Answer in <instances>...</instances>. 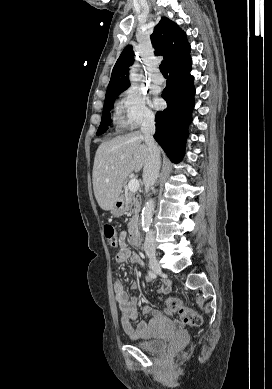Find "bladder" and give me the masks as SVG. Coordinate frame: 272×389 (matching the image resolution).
Returning <instances> with one entry per match:
<instances>
[{"mask_svg":"<svg viewBox=\"0 0 272 389\" xmlns=\"http://www.w3.org/2000/svg\"><path fill=\"white\" fill-rule=\"evenodd\" d=\"M135 347L147 352H161L167 348L168 341L166 339H157L149 341H135Z\"/></svg>","mask_w":272,"mask_h":389,"instance_id":"31cf9c89","label":"bladder"}]
</instances>
